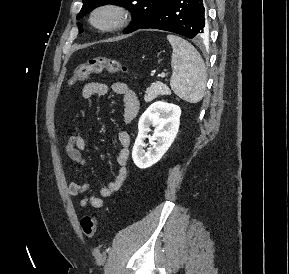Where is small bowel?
Masks as SVG:
<instances>
[{
	"label": "small bowel",
	"instance_id": "c3829d8e",
	"mask_svg": "<svg viewBox=\"0 0 289 274\" xmlns=\"http://www.w3.org/2000/svg\"><path fill=\"white\" fill-rule=\"evenodd\" d=\"M110 92L120 96L124 105L123 118L125 123H130L135 119L139 112L140 103L136 93L124 82H114L111 85H107L101 82L87 83L82 91L81 96L84 100H89L93 96H106ZM119 150L116 156V162L118 165L117 173L112 181H109L106 185L101 187L98 191V195L87 194L89 190V184L74 181L70 183L68 187V193L72 197L83 195L79 201L80 208H86L88 206L100 209L105 205V198L112 197L117 191L120 190L125 182L128 174L127 164L129 159V146L130 136L126 131H120L118 133ZM87 149V142L81 135L77 127H73L70 130L66 145L65 152L67 156L77 164L78 168L75 170V177H79L81 168L87 164L84 152Z\"/></svg>",
	"mask_w": 289,
	"mask_h": 274
}]
</instances>
